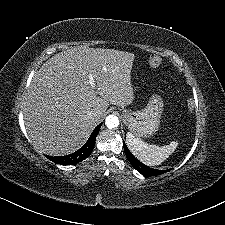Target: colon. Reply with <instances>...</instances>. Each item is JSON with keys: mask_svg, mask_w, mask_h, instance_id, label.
I'll use <instances>...</instances> for the list:
<instances>
[{"mask_svg": "<svg viewBox=\"0 0 225 225\" xmlns=\"http://www.w3.org/2000/svg\"><path fill=\"white\" fill-rule=\"evenodd\" d=\"M149 62L152 66H159L161 64V58L155 55H152L149 59Z\"/></svg>", "mask_w": 225, "mask_h": 225, "instance_id": "colon-1", "label": "colon"}]
</instances>
